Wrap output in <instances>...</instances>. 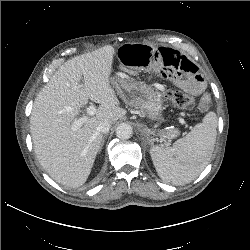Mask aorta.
<instances>
[{
	"mask_svg": "<svg viewBox=\"0 0 250 250\" xmlns=\"http://www.w3.org/2000/svg\"><path fill=\"white\" fill-rule=\"evenodd\" d=\"M133 134V129L132 126L128 123H121L117 128H116V136L119 139H129L131 138Z\"/></svg>",
	"mask_w": 250,
	"mask_h": 250,
	"instance_id": "aorta-1",
	"label": "aorta"
}]
</instances>
